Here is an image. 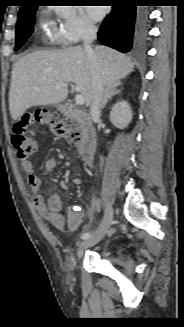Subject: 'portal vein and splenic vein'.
I'll return each mask as SVG.
<instances>
[{
  "label": "portal vein and splenic vein",
  "instance_id": "1",
  "mask_svg": "<svg viewBox=\"0 0 184 327\" xmlns=\"http://www.w3.org/2000/svg\"><path fill=\"white\" fill-rule=\"evenodd\" d=\"M68 87V83H57L56 84V88H67ZM77 91H79L78 89H76ZM75 102L77 105H83L84 104V97L81 94H77L75 96Z\"/></svg>",
  "mask_w": 184,
  "mask_h": 327
}]
</instances>
